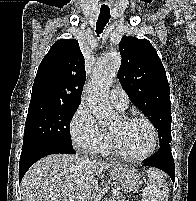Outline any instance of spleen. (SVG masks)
I'll use <instances>...</instances> for the list:
<instances>
[{
    "instance_id": "obj_1",
    "label": "spleen",
    "mask_w": 196,
    "mask_h": 201,
    "mask_svg": "<svg viewBox=\"0 0 196 201\" xmlns=\"http://www.w3.org/2000/svg\"><path fill=\"white\" fill-rule=\"evenodd\" d=\"M169 189L161 171L148 170V184L143 192L142 201H168Z\"/></svg>"
}]
</instances>
